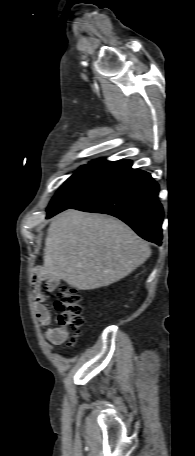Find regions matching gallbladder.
<instances>
[{
    "label": "gallbladder",
    "mask_w": 195,
    "mask_h": 456,
    "mask_svg": "<svg viewBox=\"0 0 195 456\" xmlns=\"http://www.w3.org/2000/svg\"><path fill=\"white\" fill-rule=\"evenodd\" d=\"M48 284L51 288H54L57 283L55 281H53L52 279H48Z\"/></svg>",
    "instance_id": "bac80fb5"
}]
</instances>
